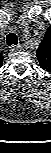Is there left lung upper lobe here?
<instances>
[{"mask_svg": "<svg viewBox=\"0 0 51 153\" xmlns=\"http://www.w3.org/2000/svg\"><path fill=\"white\" fill-rule=\"evenodd\" d=\"M36 56L39 66L43 70L51 72V26L48 27L46 35L37 49Z\"/></svg>", "mask_w": 51, "mask_h": 153, "instance_id": "obj_1", "label": "left lung upper lobe"}]
</instances>
